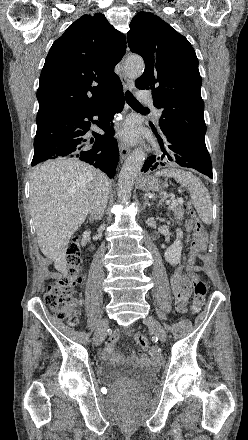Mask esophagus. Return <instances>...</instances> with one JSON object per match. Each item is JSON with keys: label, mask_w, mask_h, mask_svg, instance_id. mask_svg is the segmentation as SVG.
<instances>
[{"label": "esophagus", "mask_w": 248, "mask_h": 440, "mask_svg": "<svg viewBox=\"0 0 248 440\" xmlns=\"http://www.w3.org/2000/svg\"><path fill=\"white\" fill-rule=\"evenodd\" d=\"M123 64H124V58L121 60V63H120V65H121L120 78L122 80L124 88L132 90L134 88V82L126 75V73L123 69ZM119 152H120L121 161H124L125 158L130 153V148L126 144L121 142L119 144Z\"/></svg>", "instance_id": "obj_1"}]
</instances>
